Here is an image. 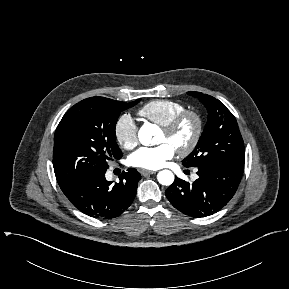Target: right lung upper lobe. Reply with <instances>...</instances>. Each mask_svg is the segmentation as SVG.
Wrapping results in <instances>:
<instances>
[{
  "label": "right lung upper lobe",
  "instance_id": "cb5924a9",
  "mask_svg": "<svg viewBox=\"0 0 289 289\" xmlns=\"http://www.w3.org/2000/svg\"><path fill=\"white\" fill-rule=\"evenodd\" d=\"M99 98H102V99H108V98H104V97H99Z\"/></svg>",
  "mask_w": 289,
  "mask_h": 289
}]
</instances>
